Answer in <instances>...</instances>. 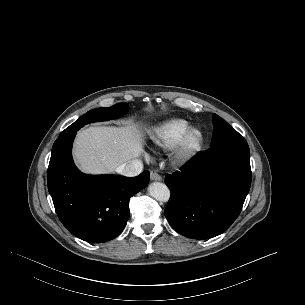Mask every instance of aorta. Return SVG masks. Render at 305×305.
Wrapping results in <instances>:
<instances>
[{
    "mask_svg": "<svg viewBox=\"0 0 305 305\" xmlns=\"http://www.w3.org/2000/svg\"><path fill=\"white\" fill-rule=\"evenodd\" d=\"M149 194L158 201L166 202L170 198L169 188L161 182H153L148 187Z\"/></svg>",
    "mask_w": 305,
    "mask_h": 305,
    "instance_id": "762f6f07",
    "label": "aorta"
}]
</instances>
